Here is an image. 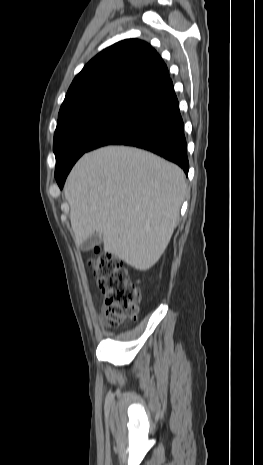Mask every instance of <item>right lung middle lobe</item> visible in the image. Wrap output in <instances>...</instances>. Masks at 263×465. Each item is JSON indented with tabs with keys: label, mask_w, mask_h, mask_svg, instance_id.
<instances>
[{
	"label": "right lung middle lobe",
	"mask_w": 263,
	"mask_h": 465,
	"mask_svg": "<svg viewBox=\"0 0 263 465\" xmlns=\"http://www.w3.org/2000/svg\"><path fill=\"white\" fill-rule=\"evenodd\" d=\"M136 98L109 96L89 100L58 115L53 151L56 180L65 177L75 162L135 102Z\"/></svg>",
	"instance_id": "right-lung-middle-lobe-1"
}]
</instances>
